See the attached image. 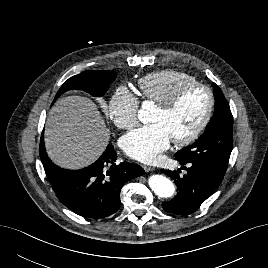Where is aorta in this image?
I'll return each mask as SVG.
<instances>
[{"mask_svg": "<svg viewBox=\"0 0 268 268\" xmlns=\"http://www.w3.org/2000/svg\"><path fill=\"white\" fill-rule=\"evenodd\" d=\"M138 119L142 123H148L150 121V113L147 110V102H144L142 109L138 111ZM148 184L152 191L161 198L171 197L175 192L174 184L163 175L156 174L150 176Z\"/></svg>", "mask_w": 268, "mask_h": 268, "instance_id": "aorta-1", "label": "aorta"}]
</instances>
